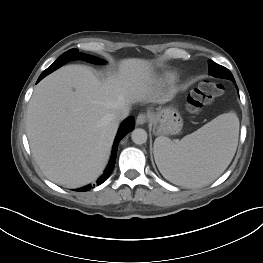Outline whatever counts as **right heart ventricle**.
<instances>
[{
  "label": "right heart ventricle",
  "mask_w": 263,
  "mask_h": 263,
  "mask_svg": "<svg viewBox=\"0 0 263 263\" xmlns=\"http://www.w3.org/2000/svg\"><path fill=\"white\" fill-rule=\"evenodd\" d=\"M174 78H175V76L173 74L167 75V79L168 80H173Z\"/></svg>",
  "instance_id": "right-heart-ventricle-1"
}]
</instances>
